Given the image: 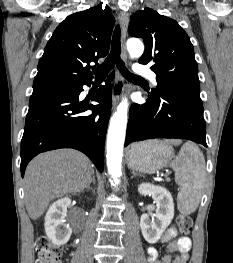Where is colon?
Here are the masks:
<instances>
[{
	"label": "colon",
	"instance_id": "5ec220e1",
	"mask_svg": "<svg viewBox=\"0 0 233 263\" xmlns=\"http://www.w3.org/2000/svg\"><path fill=\"white\" fill-rule=\"evenodd\" d=\"M179 232L187 235L192 229V219L189 215H180L177 219ZM37 253L36 263H61L60 258L62 249L59 246L51 244L45 236H40L35 242Z\"/></svg>",
	"mask_w": 233,
	"mask_h": 263
}]
</instances>
